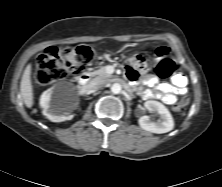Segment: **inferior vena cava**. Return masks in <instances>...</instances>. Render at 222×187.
Returning <instances> with one entry per match:
<instances>
[{"label":"inferior vena cava","instance_id":"inferior-vena-cava-1","mask_svg":"<svg viewBox=\"0 0 222 187\" xmlns=\"http://www.w3.org/2000/svg\"><path fill=\"white\" fill-rule=\"evenodd\" d=\"M107 84V80L101 77H96L90 82L92 89H101Z\"/></svg>","mask_w":222,"mask_h":187}]
</instances>
